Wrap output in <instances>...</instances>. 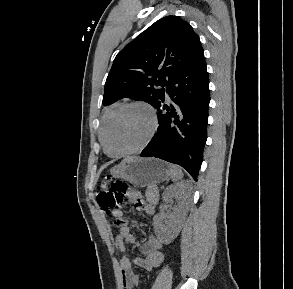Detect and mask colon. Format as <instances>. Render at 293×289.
Segmentation results:
<instances>
[{
	"label": "colon",
	"instance_id": "obj_1",
	"mask_svg": "<svg viewBox=\"0 0 293 289\" xmlns=\"http://www.w3.org/2000/svg\"><path fill=\"white\" fill-rule=\"evenodd\" d=\"M110 184V189L107 186ZM132 191V188L126 183L112 181L110 177L103 179V186L96 193L97 203L102 211L111 214L122 202L124 197ZM122 222L115 221L116 225Z\"/></svg>",
	"mask_w": 293,
	"mask_h": 289
}]
</instances>
